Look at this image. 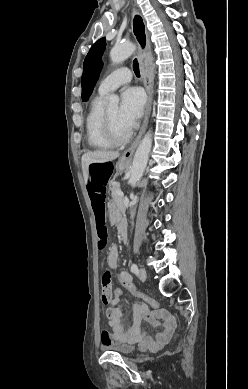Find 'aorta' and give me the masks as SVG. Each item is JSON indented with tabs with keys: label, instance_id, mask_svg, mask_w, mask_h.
<instances>
[{
	"label": "aorta",
	"instance_id": "762f6f07",
	"mask_svg": "<svg viewBox=\"0 0 248 389\" xmlns=\"http://www.w3.org/2000/svg\"><path fill=\"white\" fill-rule=\"evenodd\" d=\"M136 47L132 43H123L113 47L110 51V59L112 64L117 65L125 61L132 53L135 51ZM119 105V98L116 95H111L109 97L110 108H117ZM152 147V134L151 131H148L143 139L141 140L136 153L134 155L131 175L129 183L132 187H135L138 181L141 179L143 172L146 168L149 153Z\"/></svg>",
	"mask_w": 248,
	"mask_h": 389
}]
</instances>
